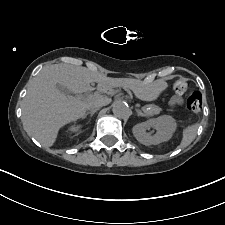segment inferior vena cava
I'll use <instances>...</instances> for the list:
<instances>
[{
    "label": "inferior vena cava",
    "mask_w": 225,
    "mask_h": 225,
    "mask_svg": "<svg viewBox=\"0 0 225 225\" xmlns=\"http://www.w3.org/2000/svg\"><path fill=\"white\" fill-rule=\"evenodd\" d=\"M106 105V100L104 97H99L94 103H92L88 110H96V109H100L101 107Z\"/></svg>",
    "instance_id": "602c4592"
}]
</instances>
